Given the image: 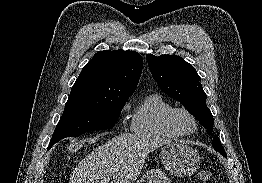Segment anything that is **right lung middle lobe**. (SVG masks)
<instances>
[{"label": "right lung middle lobe", "instance_id": "dd1d6c3e", "mask_svg": "<svg viewBox=\"0 0 262 183\" xmlns=\"http://www.w3.org/2000/svg\"><path fill=\"white\" fill-rule=\"evenodd\" d=\"M127 100L128 98L70 95L50 145L65 137H77L87 131L111 129Z\"/></svg>", "mask_w": 262, "mask_h": 183}]
</instances>
